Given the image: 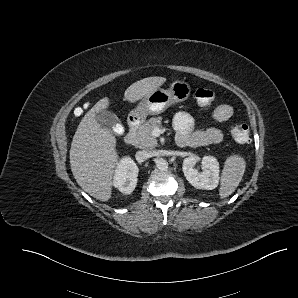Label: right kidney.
<instances>
[{
    "label": "right kidney",
    "instance_id": "1",
    "mask_svg": "<svg viewBox=\"0 0 298 298\" xmlns=\"http://www.w3.org/2000/svg\"><path fill=\"white\" fill-rule=\"evenodd\" d=\"M138 166L129 155H123L116 163L112 186L122 194H130L137 184Z\"/></svg>",
    "mask_w": 298,
    "mask_h": 298
}]
</instances>
